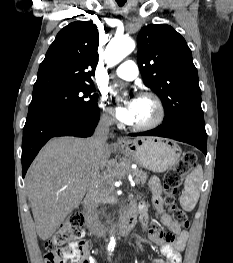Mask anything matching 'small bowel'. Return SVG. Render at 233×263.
<instances>
[{"label":"small bowel","instance_id":"c3829d8e","mask_svg":"<svg viewBox=\"0 0 233 263\" xmlns=\"http://www.w3.org/2000/svg\"><path fill=\"white\" fill-rule=\"evenodd\" d=\"M149 187L152 192L153 206L162 224L169 231V233H167L158 227H149L146 205L142 203L138 206L140 221L146 236L149 240L159 246L160 251L164 256V258L153 259L152 263H182L181 252L188 239V232L177 225L172 217L166 212L165 203L161 194L160 181L157 177H152L150 179ZM89 263L97 262L94 258L90 257Z\"/></svg>","mask_w":233,"mask_h":263}]
</instances>
